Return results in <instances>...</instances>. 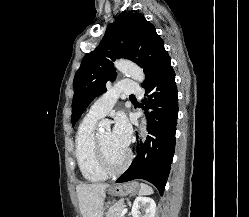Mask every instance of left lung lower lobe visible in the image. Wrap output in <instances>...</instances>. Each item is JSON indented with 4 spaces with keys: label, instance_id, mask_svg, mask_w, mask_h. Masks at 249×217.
<instances>
[{
    "label": "left lung lower lobe",
    "instance_id": "1",
    "mask_svg": "<svg viewBox=\"0 0 249 217\" xmlns=\"http://www.w3.org/2000/svg\"><path fill=\"white\" fill-rule=\"evenodd\" d=\"M144 100L148 133L144 145L138 149L130 167L116 182L144 179L157 187L163 195L170 172L174 149L178 115L175 73L168 56L147 84Z\"/></svg>",
    "mask_w": 249,
    "mask_h": 217
}]
</instances>
